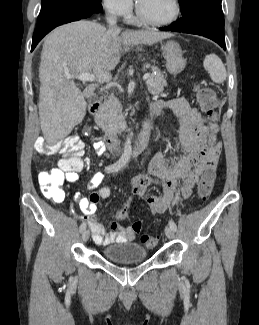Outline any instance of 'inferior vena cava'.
I'll return each instance as SVG.
<instances>
[{
    "mask_svg": "<svg viewBox=\"0 0 259 325\" xmlns=\"http://www.w3.org/2000/svg\"><path fill=\"white\" fill-rule=\"evenodd\" d=\"M106 20H107V23L109 24V28L112 29V30H116L117 29V17L116 15L114 14H107L106 16Z\"/></svg>",
    "mask_w": 259,
    "mask_h": 325,
    "instance_id": "obj_1",
    "label": "inferior vena cava"
}]
</instances>
